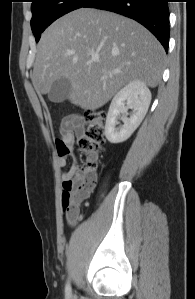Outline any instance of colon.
<instances>
[{
	"instance_id": "colon-1",
	"label": "colon",
	"mask_w": 195,
	"mask_h": 299,
	"mask_svg": "<svg viewBox=\"0 0 195 299\" xmlns=\"http://www.w3.org/2000/svg\"><path fill=\"white\" fill-rule=\"evenodd\" d=\"M105 117L103 110L87 112V124L78 140L82 160L76 168V178L67 183L68 189L63 192L64 213L70 217H76L80 213L82 203L93 188L98 167L97 157L104 144Z\"/></svg>"
}]
</instances>
